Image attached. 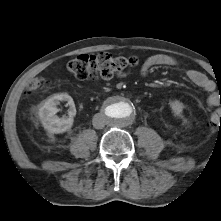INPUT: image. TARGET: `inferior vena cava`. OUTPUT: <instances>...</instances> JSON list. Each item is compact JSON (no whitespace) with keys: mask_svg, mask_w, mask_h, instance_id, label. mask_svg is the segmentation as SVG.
I'll use <instances>...</instances> for the list:
<instances>
[{"mask_svg":"<svg viewBox=\"0 0 221 221\" xmlns=\"http://www.w3.org/2000/svg\"><path fill=\"white\" fill-rule=\"evenodd\" d=\"M106 117L102 114H95L92 119V124L95 129H102L105 126Z\"/></svg>","mask_w":221,"mask_h":221,"instance_id":"1","label":"inferior vena cava"}]
</instances>
